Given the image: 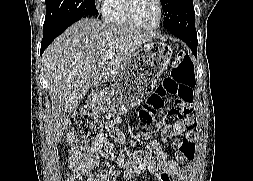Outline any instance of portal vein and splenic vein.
I'll return each instance as SVG.
<instances>
[{
  "label": "portal vein and splenic vein",
  "instance_id": "obj_1",
  "mask_svg": "<svg viewBox=\"0 0 253 181\" xmlns=\"http://www.w3.org/2000/svg\"><path fill=\"white\" fill-rule=\"evenodd\" d=\"M113 56H114L113 52H107L106 53V57L109 58V59H111Z\"/></svg>",
  "mask_w": 253,
  "mask_h": 181
}]
</instances>
